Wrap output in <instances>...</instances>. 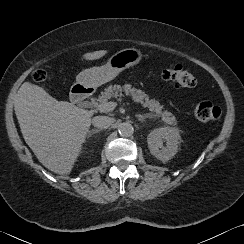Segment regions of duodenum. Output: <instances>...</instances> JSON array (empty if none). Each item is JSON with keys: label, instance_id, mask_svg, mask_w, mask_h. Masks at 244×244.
Returning a JSON list of instances; mask_svg holds the SVG:
<instances>
[{"label": "duodenum", "instance_id": "1", "mask_svg": "<svg viewBox=\"0 0 244 244\" xmlns=\"http://www.w3.org/2000/svg\"><path fill=\"white\" fill-rule=\"evenodd\" d=\"M93 90L87 85L77 84L71 91V100L75 104H83L90 100Z\"/></svg>", "mask_w": 244, "mask_h": 244}]
</instances>
